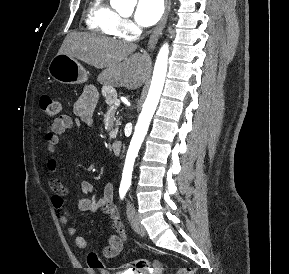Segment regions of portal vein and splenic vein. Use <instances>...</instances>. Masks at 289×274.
Wrapping results in <instances>:
<instances>
[{"label":"portal vein and splenic vein","mask_w":289,"mask_h":274,"mask_svg":"<svg viewBox=\"0 0 289 274\" xmlns=\"http://www.w3.org/2000/svg\"><path fill=\"white\" fill-rule=\"evenodd\" d=\"M115 105H120V100L119 99H117L116 101H115Z\"/></svg>","instance_id":"1"}]
</instances>
